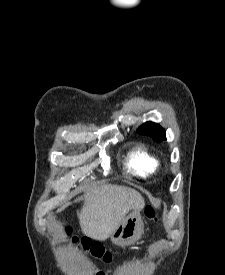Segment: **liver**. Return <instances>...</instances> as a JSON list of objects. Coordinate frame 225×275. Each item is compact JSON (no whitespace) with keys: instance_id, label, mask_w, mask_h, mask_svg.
Instances as JSON below:
<instances>
[{"instance_id":"1","label":"liver","mask_w":225,"mask_h":275,"mask_svg":"<svg viewBox=\"0 0 225 275\" xmlns=\"http://www.w3.org/2000/svg\"><path fill=\"white\" fill-rule=\"evenodd\" d=\"M80 199L84 200L79 214L80 227L84 234L97 240L110 237L130 210H140L145 204L138 191L111 184L92 188L77 200ZM70 204L65 203L58 211Z\"/></svg>"}]
</instances>
